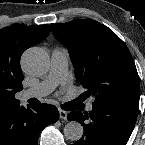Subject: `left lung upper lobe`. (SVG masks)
I'll use <instances>...</instances> for the list:
<instances>
[{
	"label": "left lung upper lobe",
	"instance_id": "obj_1",
	"mask_svg": "<svg viewBox=\"0 0 145 145\" xmlns=\"http://www.w3.org/2000/svg\"><path fill=\"white\" fill-rule=\"evenodd\" d=\"M52 33L69 51L75 76L94 97L93 104L139 103L140 85L134 60L125 43L94 20L51 24Z\"/></svg>",
	"mask_w": 145,
	"mask_h": 145
}]
</instances>
